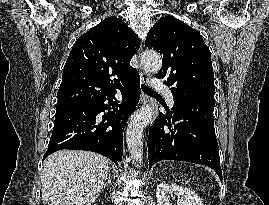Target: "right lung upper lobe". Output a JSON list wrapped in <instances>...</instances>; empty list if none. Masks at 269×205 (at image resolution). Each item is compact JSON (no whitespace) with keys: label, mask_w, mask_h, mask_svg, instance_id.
<instances>
[{"label":"right lung upper lobe","mask_w":269,"mask_h":205,"mask_svg":"<svg viewBox=\"0 0 269 205\" xmlns=\"http://www.w3.org/2000/svg\"><path fill=\"white\" fill-rule=\"evenodd\" d=\"M140 41L112 16L81 35L64 66L57 106L91 101L116 92L137 70L129 65ZM111 76L115 78L111 80Z\"/></svg>","instance_id":"obj_1"}]
</instances>
